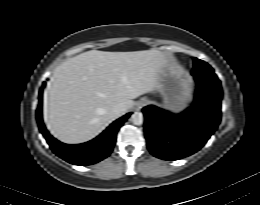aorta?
<instances>
[{
    "label": "aorta",
    "mask_w": 260,
    "mask_h": 205,
    "mask_svg": "<svg viewBox=\"0 0 260 205\" xmlns=\"http://www.w3.org/2000/svg\"><path fill=\"white\" fill-rule=\"evenodd\" d=\"M130 120H131V122L134 125H142V123H143V114L141 112H134L131 115Z\"/></svg>",
    "instance_id": "1"
}]
</instances>
